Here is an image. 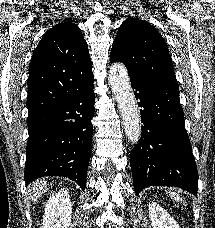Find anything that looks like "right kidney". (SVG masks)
Returning <instances> with one entry per match:
<instances>
[{
	"label": "right kidney",
	"instance_id": "obj_1",
	"mask_svg": "<svg viewBox=\"0 0 215 228\" xmlns=\"http://www.w3.org/2000/svg\"><path fill=\"white\" fill-rule=\"evenodd\" d=\"M72 216V204L68 190L62 188L50 196L43 216L42 228H69Z\"/></svg>",
	"mask_w": 215,
	"mask_h": 228
}]
</instances>
